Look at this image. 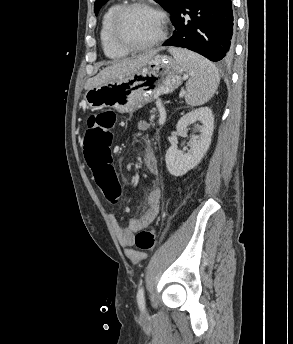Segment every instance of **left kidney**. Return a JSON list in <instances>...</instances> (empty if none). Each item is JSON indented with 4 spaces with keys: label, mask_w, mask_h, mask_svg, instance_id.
<instances>
[{
    "label": "left kidney",
    "mask_w": 293,
    "mask_h": 344,
    "mask_svg": "<svg viewBox=\"0 0 293 344\" xmlns=\"http://www.w3.org/2000/svg\"><path fill=\"white\" fill-rule=\"evenodd\" d=\"M198 122L202 125L199 126ZM191 124L197 125L200 137L189 142L190 150L183 153L178 150L176 145H172L165 155L166 167L169 173L176 177L182 176L196 167L207 152L214 129L212 110L208 107H201L185 114L179 119L176 129L178 132H183Z\"/></svg>",
    "instance_id": "1"
}]
</instances>
